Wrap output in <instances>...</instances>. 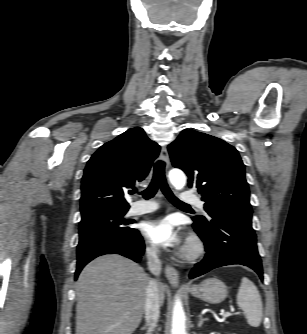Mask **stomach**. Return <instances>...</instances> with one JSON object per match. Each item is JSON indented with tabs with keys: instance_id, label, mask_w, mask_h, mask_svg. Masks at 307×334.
<instances>
[{
	"instance_id": "1",
	"label": "stomach",
	"mask_w": 307,
	"mask_h": 334,
	"mask_svg": "<svg viewBox=\"0 0 307 334\" xmlns=\"http://www.w3.org/2000/svg\"><path fill=\"white\" fill-rule=\"evenodd\" d=\"M189 292L205 302L216 304L222 302L228 294L227 286L218 278H208L189 288Z\"/></svg>"
}]
</instances>
